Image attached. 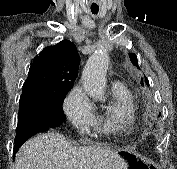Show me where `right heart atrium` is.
Here are the masks:
<instances>
[{
	"label": "right heart atrium",
	"instance_id": "d8ad5b80",
	"mask_svg": "<svg viewBox=\"0 0 177 169\" xmlns=\"http://www.w3.org/2000/svg\"><path fill=\"white\" fill-rule=\"evenodd\" d=\"M63 108L67 118L78 131H85L94 124V105L82 88L75 87L69 92Z\"/></svg>",
	"mask_w": 177,
	"mask_h": 169
}]
</instances>
